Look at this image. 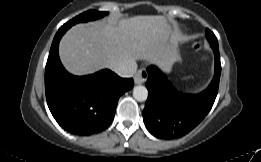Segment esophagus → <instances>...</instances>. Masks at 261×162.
I'll use <instances>...</instances> for the list:
<instances>
[{"label":"esophagus","instance_id":"obj_1","mask_svg":"<svg viewBox=\"0 0 261 162\" xmlns=\"http://www.w3.org/2000/svg\"><path fill=\"white\" fill-rule=\"evenodd\" d=\"M147 78H148L147 71L145 69H140L134 75V82L135 84H142L147 80Z\"/></svg>","mask_w":261,"mask_h":162}]
</instances>
